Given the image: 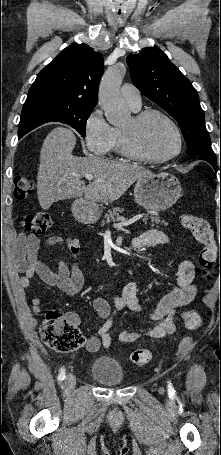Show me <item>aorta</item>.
I'll use <instances>...</instances> for the list:
<instances>
[{
    "mask_svg": "<svg viewBox=\"0 0 221 455\" xmlns=\"http://www.w3.org/2000/svg\"><path fill=\"white\" fill-rule=\"evenodd\" d=\"M125 70L119 67L109 68L103 75L99 87V101L105 111L107 121L114 125L124 124L129 120L130 111L120 96V86Z\"/></svg>",
    "mask_w": 221,
    "mask_h": 455,
    "instance_id": "762f6f07",
    "label": "aorta"
}]
</instances>
